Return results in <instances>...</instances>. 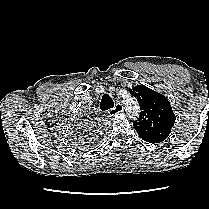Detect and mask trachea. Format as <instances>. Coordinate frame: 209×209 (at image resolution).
Returning a JSON list of instances; mask_svg holds the SVG:
<instances>
[{
  "mask_svg": "<svg viewBox=\"0 0 209 209\" xmlns=\"http://www.w3.org/2000/svg\"><path fill=\"white\" fill-rule=\"evenodd\" d=\"M114 107V102L109 94H104L101 102H100V108L102 111L109 110Z\"/></svg>",
  "mask_w": 209,
  "mask_h": 209,
  "instance_id": "1",
  "label": "trachea"
}]
</instances>
